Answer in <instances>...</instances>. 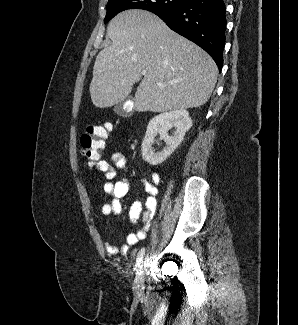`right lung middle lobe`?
<instances>
[{"label":"right lung middle lobe","instance_id":"right-lung-middle-lobe-1","mask_svg":"<svg viewBox=\"0 0 298 325\" xmlns=\"http://www.w3.org/2000/svg\"><path fill=\"white\" fill-rule=\"evenodd\" d=\"M189 0H112L107 4V14L104 23L116 14L127 9H144L153 13L163 10L178 9Z\"/></svg>","mask_w":298,"mask_h":325}]
</instances>
